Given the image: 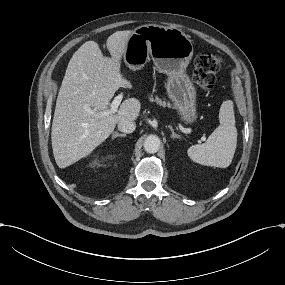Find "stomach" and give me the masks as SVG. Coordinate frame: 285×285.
<instances>
[{"label": "stomach", "mask_w": 285, "mask_h": 285, "mask_svg": "<svg viewBox=\"0 0 285 285\" xmlns=\"http://www.w3.org/2000/svg\"><path fill=\"white\" fill-rule=\"evenodd\" d=\"M193 53V41L180 29L147 25L135 30L124 56L131 69H139L152 58L155 67L166 76V95L179 121L188 126L199 117L197 88L187 74Z\"/></svg>", "instance_id": "stomach-1"}]
</instances>
